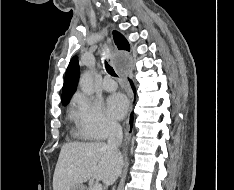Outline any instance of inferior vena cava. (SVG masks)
<instances>
[{"label":"inferior vena cava","instance_id":"1","mask_svg":"<svg viewBox=\"0 0 234 190\" xmlns=\"http://www.w3.org/2000/svg\"><path fill=\"white\" fill-rule=\"evenodd\" d=\"M122 138L123 133L121 125L117 122H110L107 149L111 151L116 157H121L119 146L122 142Z\"/></svg>","mask_w":234,"mask_h":190}]
</instances>
